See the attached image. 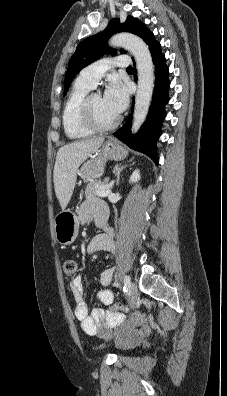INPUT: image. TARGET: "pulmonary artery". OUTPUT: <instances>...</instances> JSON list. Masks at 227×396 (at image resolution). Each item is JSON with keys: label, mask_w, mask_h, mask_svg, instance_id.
<instances>
[{"label": "pulmonary artery", "mask_w": 227, "mask_h": 396, "mask_svg": "<svg viewBox=\"0 0 227 396\" xmlns=\"http://www.w3.org/2000/svg\"><path fill=\"white\" fill-rule=\"evenodd\" d=\"M129 64L130 59L125 55L115 58H104L84 68L81 71L78 79L87 83L93 88L97 85L98 81L102 78L107 70L112 67H127Z\"/></svg>", "instance_id": "pulmonary-artery-1"}]
</instances>
